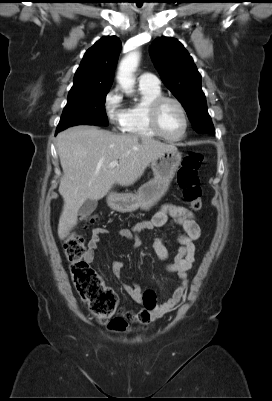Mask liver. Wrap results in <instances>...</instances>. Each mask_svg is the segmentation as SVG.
<instances>
[{"mask_svg": "<svg viewBox=\"0 0 272 401\" xmlns=\"http://www.w3.org/2000/svg\"><path fill=\"white\" fill-rule=\"evenodd\" d=\"M57 148L63 169L59 185L64 200L58 224L60 239L77 224L78 211L85 200L103 198L114 184H134L155 158L176 149L148 137L118 135L89 125L59 133ZM114 160L119 161L118 166L109 168Z\"/></svg>", "mask_w": 272, "mask_h": 401, "instance_id": "liver-1", "label": "liver"}]
</instances>
